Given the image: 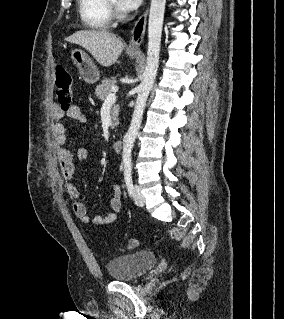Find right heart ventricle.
Here are the masks:
<instances>
[{"mask_svg":"<svg viewBox=\"0 0 284 319\" xmlns=\"http://www.w3.org/2000/svg\"><path fill=\"white\" fill-rule=\"evenodd\" d=\"M80 17L85 26L105 29L112 21L106 0H77Z\"/></svg>","mask_w":284,"mask_h":319,"instance_id":"obj_1","label":"right heart ventricle"}]
</instances>
